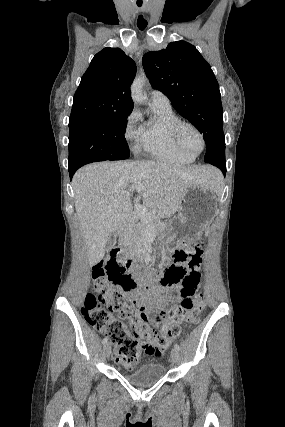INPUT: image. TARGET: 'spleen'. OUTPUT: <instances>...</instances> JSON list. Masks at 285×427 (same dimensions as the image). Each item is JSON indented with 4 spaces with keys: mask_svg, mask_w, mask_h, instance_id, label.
I'll use <instances>...</instances> for the list:
<instances>
[{
    "mask_svg": "<svg viewBox=\"0 0 285 427\" xmlns=\"http://www.w3.org/2000/svg\"><path fill=\"white\" fill-rule=\"evenodd\" d=\"M217 191L220 192L222 190L221 176L218 177Z\"/></svg>",
    "mask_w": 285,
    "mask_h": 427,
    "instance_id": "obj_1",
    "label": "spleen"
}]
</instances>
